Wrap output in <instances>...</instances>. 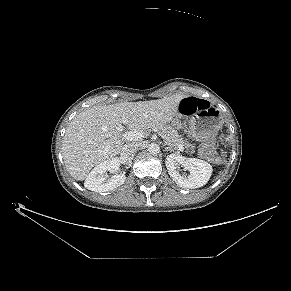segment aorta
Wrapping results in <instances>:
<instances>
[{"label":"aorta","mask_w":291,"mask_h":291,"mask_svg":"<svg viewBox=\"0 0 291 291\" xmlns=\"http://www.w3.org/2000/svg\"><path fill=\"white\" fill-rule=\"evenodd\" d=\"M147 150L150 154L155 155L160 152V146L157 143H151L148 145Z\"/></svg>","instance_id":"aorta-1"}]
</instances>
